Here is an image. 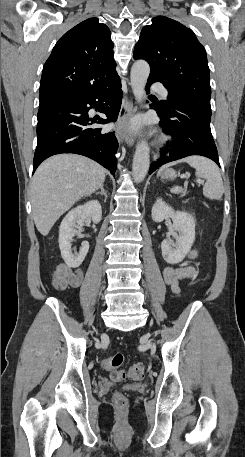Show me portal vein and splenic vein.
Instances as JSON below:
<instances>
[{
  "mask_svg": "<svg viewBox=\"0 0 245 457\" xmlns=\"http://www.w3.org/2000/svg\"><path fill=\"white\" fill-rule=\"evenodd\" d=\"M182 176H186V174H182ZM197 182H199V184H203L204 180H201V178H197Z\"/></svg>",
  "mask_w": 245,
  "mask_h": 457,
  "instance_id": "portal-vein-and-splenic-vein-1",
  "label": "portal vein and splenic vein"
}]
</instances>
